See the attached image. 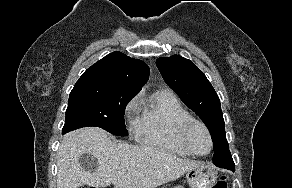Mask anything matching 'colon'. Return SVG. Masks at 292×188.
I'll return each mask as SVG.
<instances>
[{"label": "colon", "instance_id": "obj_1", "mask_svg": "<svg viewBox=\"0 0 292 188\" xmlns=\"http://www.w3.org/2000/svg\"><path fill=\"white\" fill-rule=\"evenodd\" d=\"M94 188V187H89ZM213 188H228L227 176H223L216 181Z\"/></svg>", "mask_w": 292, "mask_h": 188}]
</instances>
